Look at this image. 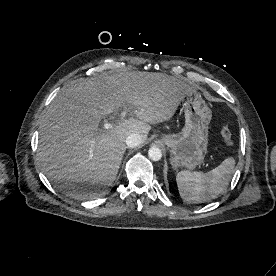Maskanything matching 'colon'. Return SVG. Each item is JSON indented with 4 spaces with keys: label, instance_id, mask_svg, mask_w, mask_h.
I'll use <instances>...</instances> for the list:
<instances>
[{
    "label": "colon",
    "instance_id": "1",
    "mask_svg": "<svg viewBox=\"0 0 276 276\" xmlns=\"http://www.w3.org/2000/svg\"><path fill=\"white\" fill-rule=\"evenodd\" d=\"M220 137L222 142L227 146L233 145V139L230 130L227 126L223 125L220 129Z\"/></svg>",
    "mask_w": 276,
    "mask_h": 276
}]
</instances>
